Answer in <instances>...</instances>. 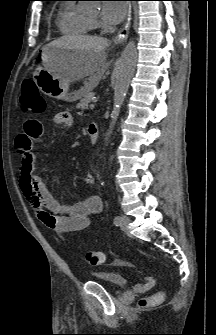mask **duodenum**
<instances>
[{"label": "duodenum", "instance_id": "410a0bca", "mask_svg": "<svg viewBox=\"0 0 216 335\" xmlns=\"http://www.w3.org/2000/svg\"><path fill=\"white\" fill-rule=\"evenodd\" d=\"M88 134L92 142H96L98 139V125L96 123H91L88 126Z\"/></svg>", "mask_w": 216, "mask_h": 335}]
</instances>
